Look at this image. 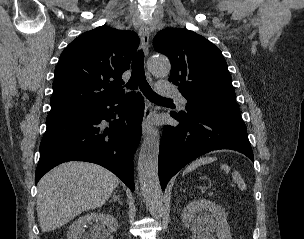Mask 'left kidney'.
I'll list each match as a JSON object with an SVG mask.
<instances>
[{
  "label": "left kidney",
  "instance_id": "5707ae66",
  "mask_svg": "<svg viewBox=\"0 0 304 239\" xmlns=\"http://www.w3.org/2000/svg\"><path fill=\"white\" fill-rule=\"evenodd\" d=\"M181 218L183 226L191 227L198 239H232L226 213L214 202L194 200L184 208ZM213 232L216 233L215 237Z\"/></svg>",
  "mask_w": 304,
  "mask_h": 239
}]
</instances>
